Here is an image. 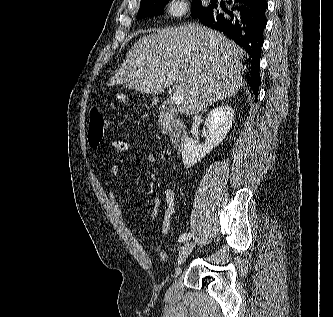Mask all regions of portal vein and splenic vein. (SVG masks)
Segmentation results:
<instances>
[{"mask_svg":"<svg viewBox=\"0 0 333 317\" xmlns=\"http://www.w3.org/2000/svg\"><path fill=\"white\" fill-rule=\"evenodd\" d=\"M172 101L175 105H180L182 103V95L180 92H176L173 97Z\"/></svg>","mask_w":333,"mask_h":317,"instance_id":"portal-vein-and-splenic-vein-1","label":"portal vein and splenic vein"}]
</instances>
